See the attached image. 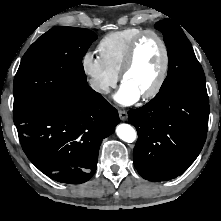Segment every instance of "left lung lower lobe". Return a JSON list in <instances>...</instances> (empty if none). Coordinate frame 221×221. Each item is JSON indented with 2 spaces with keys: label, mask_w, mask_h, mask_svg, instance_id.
Returning <instances> with one entry per match:
<instances>
[{
  "label": "left lung lower lobe",
  "mask_w": 221,
  "mask_h": 221,
  "mask_svg": "<svg viewBox=\"0 0 221 221\" xmlns=\"http://www.w3.org/2000/svg\"><path fill=\"white\" fill-rule=\"evenodd\" d=\"M128 115L139 135L133 151L135 168L149 181L170 180L188 169L205 143L207 90L170 86Z\"/></svg>",
  "instance_id": "left-lung-lower-lobe-1"
}]
</instances>
